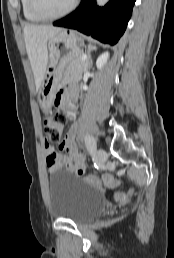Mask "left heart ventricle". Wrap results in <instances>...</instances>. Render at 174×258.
I'll return each mask as SVG.
<instances>
[{
  "label": "left heart ventricle",
  "instance_id": "obj_1",
  "mask_svg": "<svg viewBox=\"0 0 174 258\" xmlns=\"http://www.w3.org/2000/svg\"><path fill=\"white\" fill-rule=\"evenodd\" d=\"M42 11L47 14H58L65 10L73 0H37Z\"/></svg>",
  "mask_w": 174,
  "mask_h": 258
}]
</instances>
